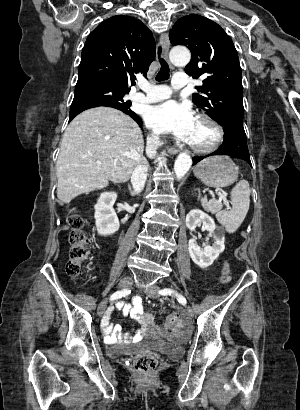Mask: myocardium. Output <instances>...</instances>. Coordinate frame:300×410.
<instances>
[{"label": "myocardium", "instance_id": "myocardium-1", "mask_svg": "<svg viewBox=\"0 0 300 410\" xmlns=\"http://www.w3.org/2000/svg\"><path fill=\"white\" fill-rule=\"evenodd\" d=\"M197 119L209 124L215 130L216 138L211 144L207 146H196L189 143L190 149L196 153L202 154L210 153L217 150L223 144L225 139V130L223 126L216 119L207 114H199L197 116Z\"/></svg>", "mask_w": 300, "mask_h": 410}]
</instances>
